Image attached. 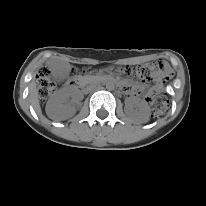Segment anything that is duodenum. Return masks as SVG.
<instances>
[{"label": "duodenum", "mask_w": 206, "mask_h": 206, "mask_svg": "<svg viewBox=\"0 0 206 206\" xmlns=\"http://www.w3.org/2000/svg\"><path fill=\"white\" fill-rule=\"evenodd\" d=\"M69 85L71 86H76V89L77 90H82L83 89V84L82 83H79L78 81L76 80H73V81H70L69 82ZM89 85H84V88L85 89H88Z\"/></svg>", "instance_id": "obj_1"}]
</instances>
